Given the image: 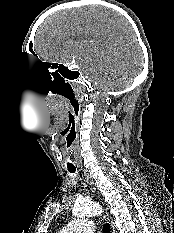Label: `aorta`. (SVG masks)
<instances>
[{
	"label": "aorta",
	"instance_id": "762f6f07",
	"mask_svg": "<svg viewBox=\"0 0 174 233\" xmlns=\"http://www.w3.org/2000/svg\"><path fill=\"white\" fill-rule=\"evenodd\" d=\"M101 212L100 205L92 202H77L72 210L75 217H91L99 215Z\"/></svg>",
	"mask_w": 174,
	"mask_h": 233
}]
</instances>
